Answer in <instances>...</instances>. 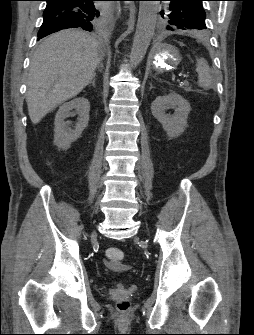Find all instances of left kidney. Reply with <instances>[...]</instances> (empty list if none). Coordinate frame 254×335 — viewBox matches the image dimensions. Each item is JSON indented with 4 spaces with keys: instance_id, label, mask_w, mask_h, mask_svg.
<instances>
[{
    "instance_id": "5707ae66",
    "label": "left kidney",
    "mask_w": 254,
    "mask_h": 335,
    "mask_svg": "<svg viewBox=\"0 0 254 335\" xmlns=\"http://www.w3.org/2000/svg\"><path fill=\"white\" fill-rule=\"evenodd\" d=\"M169 108H176L173 115L166 114ZM190 103L175 92L158 96L151 104L152 115L162 124L169 138L178 137L187 127Z\"/></svg>"
}]
</instances>
